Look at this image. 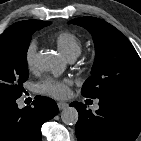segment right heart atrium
Here are the masks:
<instances>
[{
  "mask_svg": "<svg viewBox=\"0 0 141 141\" xmlns=\"http://www.w3.org/2000/svg\"><path fill=\"white\" fill-rule=\"evenodd\" d=\"M36 50H37V44L35 41H31L25 49L24 61H25V66L29 71H32L34 69Z\"/></svg>",
  "mask_w": 141,
  "mask_h": 141,
  "instance_id": "right-heart-atrium-1",
  "label": "right heart atrium"
}]
</instances>
